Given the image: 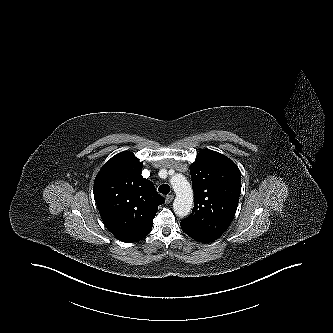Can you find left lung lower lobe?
Wrapping results in <instances>:
<instances>
[{
	"label": "left lung lower lobe",
	"mask_w": 333,
	"mask_h": 333,
	"mask_svg": "<svg viewBox=\"0 0 333 333\" xmlns=\"http://www.w3.org/2000/svg\"><path fill=\"white\" fill-rule=\"evenodd\" d=\"M181 225V224H180ZM181 228H182V230L188 235V236H190L191 238H193V239H195V240H197V241H199V242H211V241H214L215 239H213V238H210V237H208V236H206V235H203V234H201V233H199V232H196V231H194V230H192V229H189L188 227H185V226H183V225H181Z\"/></svg>",
	"instance_id": "0a47b994"
}]
</instances>
